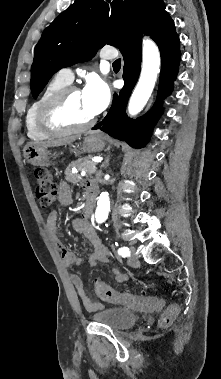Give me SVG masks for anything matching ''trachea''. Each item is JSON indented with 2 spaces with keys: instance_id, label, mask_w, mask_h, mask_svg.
I'll return each mask as SVG.
<instances>
[{
  "instance_id": "obj_1",
  "label": "trachea",
  "mask_w": 221,
  "mask_h": 379,
  "mask_svg": "<svg viewBox=\"0 0 221 379\" xmlns=\"http://www.w3.org/2000/svg\"><path fill=\"white\" fill-rule=\"evenodd\" d=\"M113 65L120 66L121 65L120 59H117L116 61H114Z\"/></svg>"
}]
</instances>
